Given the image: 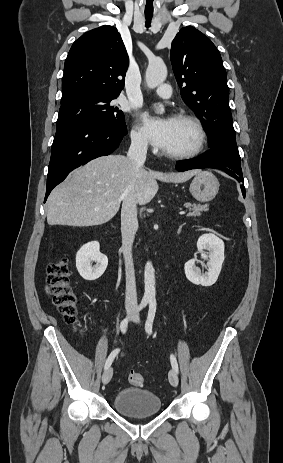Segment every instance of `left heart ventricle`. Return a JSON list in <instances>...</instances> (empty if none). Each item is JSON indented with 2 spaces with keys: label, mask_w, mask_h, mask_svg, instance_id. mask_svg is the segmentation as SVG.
<instances>
[{
  "label": "left heart ventricle",
  "mask_w": 283,
  "mask_h": 463,
  "mask_svg": "<svg viewBox=\"0 0 283 463\" xmlns=\"http://www.w3.org/2000/svg\"><path fill=\"white\" fill-rule=\"evenodd\" d=\"M197 142V134L194 128L182 121L172 120V129L166 152L178 153L192 149Z\"/></svg>",
  "instance_id": "left-heart-ventricle-1"
}]
</instances>
